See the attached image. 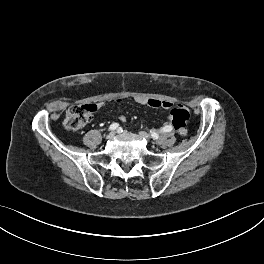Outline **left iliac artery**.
Masks as SVG:
<instances>
[{
	"mask_svg": "<svg viewBox=\"0 0 264 264\" xmlns=\"http://www.w3.org/2000/svg\"><path fill=\"white\" fill-rule=\"evenodd\" d=\"M172 130V126H165L161 129V132H170ZM152 133V132H151Z\"/></svg>",
	"mask_w": 264,
	"mask_h": 264,
	"instance_id": "obj_1",
	"label": "left iliac artery"
}]
</instances>
